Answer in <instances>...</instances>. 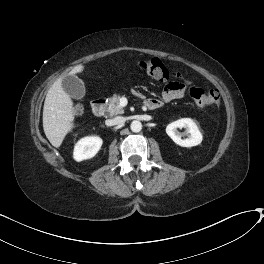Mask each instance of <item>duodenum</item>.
I'll return each mask as SVG.
<instances>
[{
	"instance_id": "410a0bca",
	"label": "duodenum",
	"mask_w": 264,
	"mask_h": 264,
	"mask_svg": "<svg viewBox=\"0 0 264 264\" xmlns=\"http://www.w3.org/2000/svg\"><path fill=\"white\" fill-rule=\"evenodd\" d=\"M106 110V100L104 98H96L92 102V112L96 117H102Z\"/></svg>"
}]
</instances>
